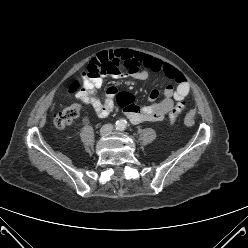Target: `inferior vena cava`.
Returning <instances> with one entry per match:
<instances>
[{
    "label": "inferior vena cava",
    "instance_id": "602c4592",
    "mask_svg": "<svg viewBox=\"0 0 248 248\" xmlns=\"http://www.w3.org/2000/svg\"><path fill=\"white\" fill-rule=\"evenodd\" d=\"M112 129H113V125H111V124H105L101 128V133L108 134V133H110L112 131Z\"/></svg>",
    "mask_w": 248,
    "mask_h": 248
}]
</instances>
